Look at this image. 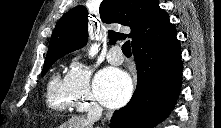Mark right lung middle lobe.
Here are the masks:
<instances>
[{"label": "right lung middle lobe", "mask_w": 221, "mask_h": 128, "mask_svg": "<svg viewBox=\"0 0 221 128\" xmlns=\"http://www.w3.org/2000/svg\"><path fill=\"white\" fill-rule=\"evenodd\" d=\"M57 59H58V58L45 61L44 67H43V71H42V76L48 71V69L51 67V65H52Z\"/></svg>", "instance_id": "dd1d6c3e"}]
</instances>
